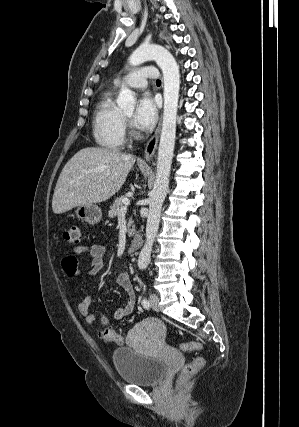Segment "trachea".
I'll list each match as a JSON object with an SVG mask.
<instances>
[{"label": "trachea", "mask_w": 299, "mask_h": 427, "mask_svg": "<svg viewBox=\"0 0 299 427\" xmlns=\"http://www.w3.org/2000/svg\"><path fill=\"white\" fill-rule=\"evenodd\" d=\"M156 83H157V84H161V80H159V79H158V80L156 81Z\"/></svg>", "instance_id": "1"}]
</instances>
